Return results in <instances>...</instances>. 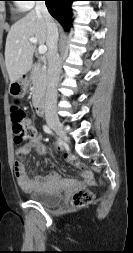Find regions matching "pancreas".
Returning a JSON list of instances; mask_svg holds the SVG:
<instances>
[{
	"label": "pancreas",
	"instance_id": "1",
	"mask_svg": "<svg viewBox=\"0 0 133 253\" xmlns=\"http://www.w3.org/2000/svg\"><path fill=\"white\" fill-rule=\"evenodd\" d=\"M30 81L32 83V100L34 103L38 102L43 96L47 83L46 68L44 65L38 63L31 71Z\"/></svg>",
	"mask_w": 133,
	"mask_h": 253
}]
</instances>
